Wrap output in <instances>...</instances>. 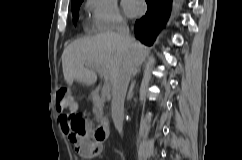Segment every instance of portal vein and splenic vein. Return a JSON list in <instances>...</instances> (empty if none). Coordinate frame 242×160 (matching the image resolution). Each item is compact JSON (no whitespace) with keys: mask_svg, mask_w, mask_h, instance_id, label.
<instances>
[{"mask_svg":"<svg viewBox=\"0 0 242 160\" xmlns=\"http://www.w3.org/2000/svg\"><path fill=\"white\" fill-rule=\"evenodd\" d=\"M87 67H89L91 69H96L104 77L105 83H104V86H103V89H102V94L106 95L109 92L110 87H111L107 70L104 67H100V66L92 65V64H87Z\"/></svg>","mask_w":242,"mask_h":160,"instance_id":"1","label":"portal vein and splenic vein"}]
</instances>
